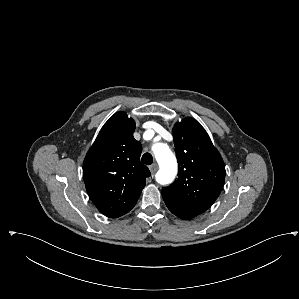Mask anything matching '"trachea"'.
I'll list each match as a JSON object with an SVG mask.
<instances>
[{"label": "trachea", "mask_w": 299, "mask_h": 299, "mask_svg": "<svg viewBox=\"0 0 299 299\" xmlns=\"http://www.w3.org/2000/svg\"><path fill=\"white\" fill-rule=\"evenodd\" d=\"M141 161L146 165H151L153 162V157L150 153L143 154Z\"/></svg>", "instance_id": "obj_1"}]
</instances>
